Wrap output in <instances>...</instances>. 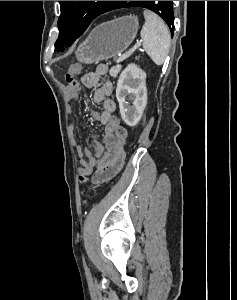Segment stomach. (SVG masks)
<instances>
[{"mask_svg":"<svg viewBox=\"0 0 237 300\" xmlns=\"http://www.w3.org/2000/svg\"><path fill=\"white\" fill-rule=\"evenodd\" d=\"M138 27V19L132 15L98 25L77 47L75 51L77 61L91 65L121 55L134 41Z\"/></svg>","mask_w":237,"mask_h":300,"instance_id":"stomach-1","label":"stomach"}]
</instances>
